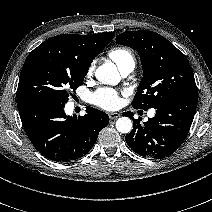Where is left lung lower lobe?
Returning a JSON list of instances; mask_svg holds the SVG:
<instances>
[{
    "instance_id": "left-lung-lower-lobe-1",
    "label": "left lung lower lobe",
    "mask_w": 212,
    "mask_h": 212,
    "mask_svg": "<svg viewBox=\"0 0 212 212\" xmlns=\"http://www.w3.org/2000/svg\"><path fill=\"white\" fill-rule=\"evenodd\" d=\"M198 95H181L156 107V115L144 125L133 120V130L125 136L128 146L144 157H168L184 142L191 127ZM133 119V117H132Z\"/></svg>"
}]
</instances>
